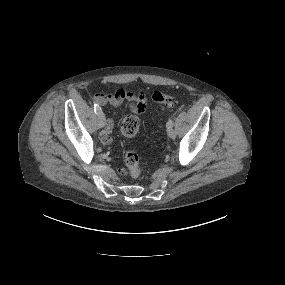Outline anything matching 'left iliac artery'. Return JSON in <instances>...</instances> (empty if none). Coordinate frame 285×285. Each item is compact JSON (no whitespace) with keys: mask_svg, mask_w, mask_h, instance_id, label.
Segmentation results:
<instances>
[{"mask_svg":"<svg viewBox=\"0 0 285 285\" xmlns=\"http://www.w3.org/2000/svg\"><path fill=\"white\" fill-rule=\"evenodd\" d=\"M166 125H167V127H172L174 125V123L172 120H169Z\"/></svg>","mask_w":285,"mask_h":285,"instance_id":"obj_1","label":"left iliac artery"}]
</instances>
